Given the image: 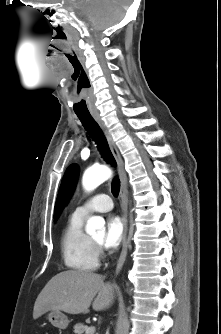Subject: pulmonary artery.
<instances>
[{
    "label": "pulmonary artery",
    "mask_w": 221,
    "mask_h": 334,
    "mask_svg": "<svg viewBox=\"0 0 221 334\" xmlns=\"http://www.w3.org/2000/svg\"><path fill=\"white\" fill-rule=\"evenodd\" d=\"M112 208L113 201L109 195L97 194L78 206L73 214L77 217L84 218L92 212H108Z\"/></svg>",
    "instance_id": "obj_1"
}]
</instances>
